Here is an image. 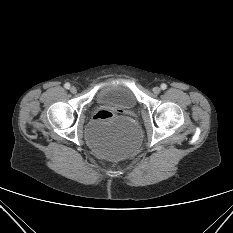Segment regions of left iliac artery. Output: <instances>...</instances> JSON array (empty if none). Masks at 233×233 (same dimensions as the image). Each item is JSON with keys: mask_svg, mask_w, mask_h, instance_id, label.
I'll list each match as a JSON object with an SVG mask.
<instances>
[{"mask_svg": "<svg viewBox=\"0 0 233 233\" xmlns=\"http://www.w3.org/2000/svg\"><path fill=\"white\" fill-rule=\"evenodd\" d=\"M160 87H161L162 90H165L167 88V85L165 83H163V84H161Z\"/></svg>", "mask_w": 233, "mask_h": 233, "instance_id": "1", "label": "left iliac artery"}]
</instances>
